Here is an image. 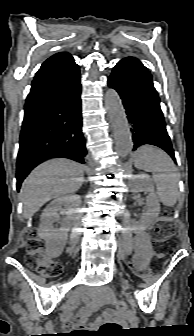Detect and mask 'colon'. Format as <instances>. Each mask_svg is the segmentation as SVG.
Returning a JSON list of instances; mask_svg holds the SVG:
<instances>
[{"label": "colon", "mask_w": 194, "mask_h": 336, "mask_svg": "<svg viewBox=\"0 0 194 336\" xmlns=\"http://www.w3.org/2000/svg\"><path fill=\"white\" fill-rule=\"evenodd\" d=\"M175 231L176 227L171 218V213L168 210H164L158 223L152 229V237L157 244L158 259L173 253L176 246ZM25 261L30 267L36 269L42 276L47 278L57 277L62 272L61 263L52 259L46 253L35 233H31L28 239ZM138 274L145 278L148 277V273L144 269H139ZM115 307L120 313L126 311V305L123 302H118ZM122 332L123 329L118 324L106 323L95 334L97 336H120Z\"/></svg>", "instance_id": "colon-1"}]
</instances>
